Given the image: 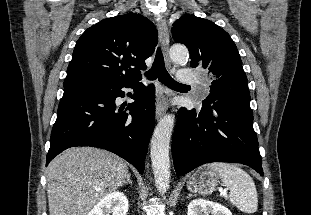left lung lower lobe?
Returning a JSON list of instances; mask_svg holds the SVG:
<instances>
[{
	"mask_svg": "<svg viewBox=\"0 0 311 215\" xmlns=\"http://www.w3.org/2000/svg\"><path fill=\"white\" fill-rule=\"evenodd\" d=\"M175 171L183 175L210 162L241 163L263 176L250 104L203 101L198 110L180 108L172 139Z\"/></svg>",
	"mask_w": 311,
	"mask_h": 215,
	"instance_id": "0a47b994",
	"label": "left lung lower lobe"
}]
</instances>
